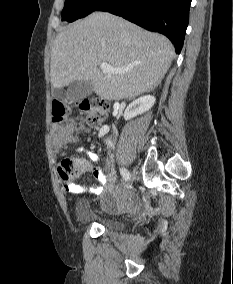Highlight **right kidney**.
<instances>
[{"label": "right kidney", "mask_w": 233, "mask_h": 284, "mask_svg": "<svg viewBox=\"0 0 233 284\" xmlns=\"http://www.w3.org/2000/svg\"><path fill=\"white\" fill-rule=\"evenodd\" d=\"M155 101L156 99L152 95H146L135 99L127 106L124 112V119L130 120L131 118L148 111L154 105ZM108 132L109 127L105 125L100 129L98 136L102 137Z\"/></svg>", "instance_id": "1"}]
</instances>
